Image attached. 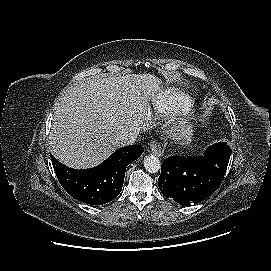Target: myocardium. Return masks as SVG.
<instances>
[{
	"label": "myocardium",
	"mask_w": 271,
	"mask_h": 271,
	"mask_svg": "<svg viewBox=\"0 0 271 271\" xmlns=\"http://www.w3.org/2000/svg\"><path fill=\"white\" fill-rule=\"evenodd\" d=\"M190 129V124L187 120L185 119H180L176 122L175 127H174V135L175 136H181L188 132Z\"/></svg>",
	"instance_id": "1"
}]
</instances>
